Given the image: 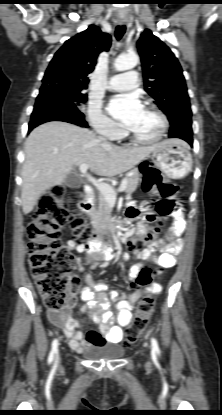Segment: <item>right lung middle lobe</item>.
I'll return each instance as SVG.
<instances>
[{"mask_svg": "<svg viewBox=\"0 0 222 415\" xmlns=\"http://www.w3.org/2000/svg\"><path fill=\"white\" fill-rule=\"evenodd\" d=\"M58 90L68 97L76 106L86 102L87 95L82 93V90L71 87L58 86ZM38 98V97H37Z\"/></svg>", "mask_w": 222, "mask_h": 415, "instance_id": "obj_1", "label": "right lung middle lobe"}]
</instances>
